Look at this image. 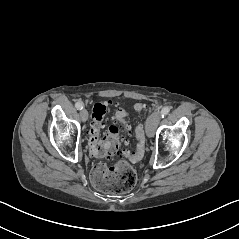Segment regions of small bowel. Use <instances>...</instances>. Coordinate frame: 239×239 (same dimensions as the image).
Wrapping results in <instances>:
<instances>
[{"instance_id":"obj_1","label":"small bowel","mask_w":239,"mask_h":239,"mask_svg":"<svg viewBox=\"0 0 239 239\" xmlns=\"http://www.w3.org/2000/svg\"><path fill=\"white\" fill-rule=\"evenodd\" d=\"M124 110L121 108V107H118L117 108V111H116V114L119 113V112H123Z\"/></svg>"}]
</instances>
